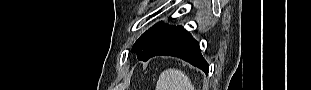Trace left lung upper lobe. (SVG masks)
I'll return each instance as SVG.
<instances>
[{"instance_id": "obj_1", "label": "left lung upper lobe", "mask_w": 311, "mask_h": 90, "mask_svg": "<svg viewBox=\"0 0 311 90\" xmlns=\"http://www.w3.org/2000/svg\"><path fill=\"white\" fill-rule=\"evenodd\" d=\"M175 26H169L158 23L152 26L135 42L131 52H135L139 60L145 61L153 49L174 29Z\"/></svg>"}]
</instances>
